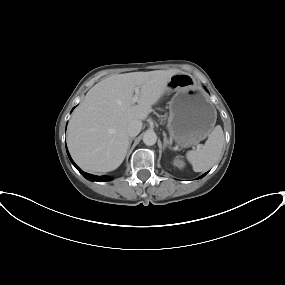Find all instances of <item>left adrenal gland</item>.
I'll return each mask as SVG.
<instances>
[{"instance_id": "1", "label": "left adrenal gland", "mask_w": 285, "mask_h": 285, "mask_svg": "<svg viewBox=\"0 0 285 285\" xmlns=\"http://www.w3.org/2000/svg\"><path fill=\"white\" fill-rule=\"evenodd\" d=\"M163 137H164V144H163V145H164V148H165V147H168L169 149H171V142L168 141L165 132H163Z\"/></svg>"}]
</instances>
